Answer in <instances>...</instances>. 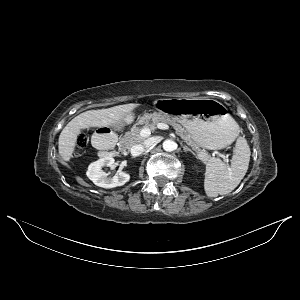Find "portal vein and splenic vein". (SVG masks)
I'll return each mask as SVG.
<instances>
[{"mask_svg":"<svg viewBox=\"0 0 300 300\" xmlns=\"http://www.w3.org/2000/svg\"><path fill=\"white\" fill-rule=\"evenodd\" d=\"M157 128L162 130H168L169 126L166 123H158ZM140 135L144 138H147L151 135V131L149 128H143L140 132Z\"/></svg>","mask_w":300,"mask_h":300,"instance_id":"18ae733b","label":"portal vein and splenic vein"}]
</instances>
